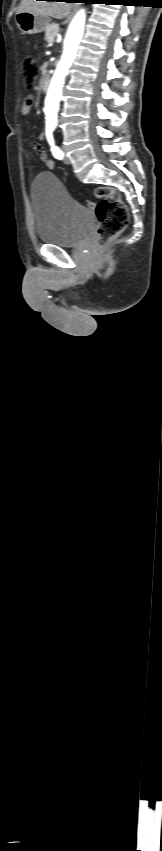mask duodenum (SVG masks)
<instances>
[{
  "label": "duodenum",
  "mask_w": 162,
  "mask_h": 851,
  "mask_svg": "<svg viewBox=\"0 0 162 851\" xmlns=\"http://www.w3.org/2000/svg\"><path fill=\"white\" fill-rule=\"evenodd\" d=\"M49 85H50V77L46 75L41 80V89L43 91H47L49 89Z\"/></svg>",
  "instance_id": "410a0bca"
}]
</instances>
